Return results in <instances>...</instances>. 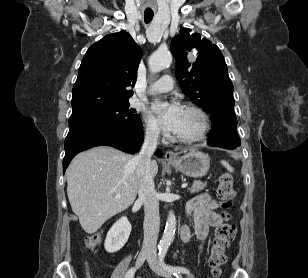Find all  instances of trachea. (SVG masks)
I'll list each match as a JSON object with an SVG mask.
<instances>
[{"label": "trachea", "instance_id": "3493384b", "mask_svg": "<svg viewBox=\"0 0 308 278\" xmlns=\"http://www.w3.org/2000/svg\"><path fill=\"white\" fill-rule=\"evenodd\" d=\"M153 15L154 13L153 12H144V20H145V23H149L151 22V20L153 19Z\"/></svg>", "mask_w": 308, "mask_h": 278}]
</instances>
